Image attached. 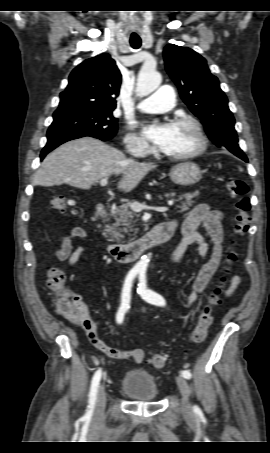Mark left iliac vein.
I'll return each instance as SVG.
<instances>
[{"instance_id":"4c4485c4","label":"left iliac vein","mask_w":270,"mask_h":453,"mask_svg":"<svg viewBox=\"0 0 270 453\" xmlns=\"http://www.w3.org/2000/svg\"><path fill=\"white\" fill-rule=\"evenodd\" d=\"M176 383H177V386H178V388L180 390V393L182 395L181 410H182V412L184 414H190L191 405H190V402H189L190 390H189L188 383L185 380V378L182 377V376H177L176 377Z\"/></svg>"}]
</instances>
